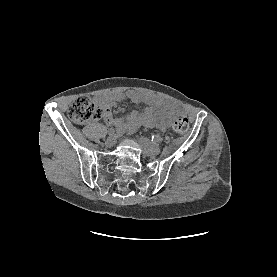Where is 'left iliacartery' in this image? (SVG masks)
I'll return each instance as SVG.
<instances>
[{
  "instance_id": "44dca946",
  "label": "left iliac artery",
  "mask_w": 277,
  "mask_h": 277,
  "mask_svg": "<svg viewBox=\"0 0 277 277\" xmlns=\"http://www.w3.org/2000/svg\"><path fill=\"white\" fill-rule=\"evenodd\" d=\"M152 141L161 143L163 141V138L159 134L152 135Z\"/></svg>"
}]
</instances>
